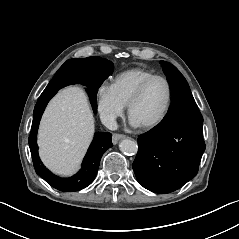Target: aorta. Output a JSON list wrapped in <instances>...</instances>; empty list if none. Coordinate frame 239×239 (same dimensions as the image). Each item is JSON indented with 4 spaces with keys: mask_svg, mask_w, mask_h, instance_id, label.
<instances>
[{
    "mask_svg": "<svg viewBox=\"0 0 239 239\" xmlns=\"http://www.w3.org/2000/svg\"><path fill=\"white\" fill-rule=\"evenodd\" d=\"M119 147L127 155H135L138 152L137 142L131 139L122 140Z\"/></svg>",
    "mask_w": 239,
    "mask_h": 239,
    "instance_id": "obj_1",
    "label": "aorta"
}]
</instances>
